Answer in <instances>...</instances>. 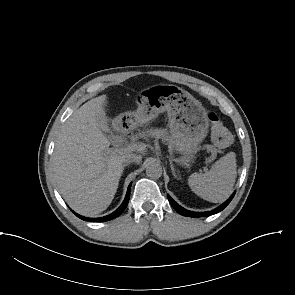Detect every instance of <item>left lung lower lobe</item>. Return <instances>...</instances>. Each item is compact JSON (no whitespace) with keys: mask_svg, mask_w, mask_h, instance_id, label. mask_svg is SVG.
Segmentation results:
<instances>
[{"mask_svg":"<svg viewBox=\"0 0 295 295\" xmlns=\"http://www.w3.org/2000/svg\"><path fill=\"white\" fill-rule=\"evenodd\" d=\"M235 193H233V195L221 206H219L218 208L209 211V212H192L189 210L184 209L183 207H181L180 205H178L171 197L170 195H168V200L170 202V204L173 206V208L181 215L183 216H188V217H205V216H211L213 214H216L220 211H222L229 203L230 201L233 199Z\"/></svg>","mask_w":295,"mask_h":295,"instance_id":"left-lung-lower-lobe-1","label":"left lung lower lobe"}]
</instances>
